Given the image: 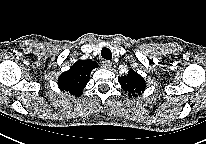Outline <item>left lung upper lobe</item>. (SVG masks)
I'll return each instance as SVG.
<instances>
[{"label":"left lung upper lobe","mask_w":206,"mask_h":144,"mask_svg":"<svg viewBox=\"0 0 206 144\" xmlns=\"http://www.w3.org/2000/svg\"><path fill=\"white\" fill-rule=\"evenodd\" d=\"M119 83L125 92H128L130 97H136L145 90V80L134 70H129L128 74L118 77Z\"/></svg>","instance_id":"obj_1"}]
</instances>
